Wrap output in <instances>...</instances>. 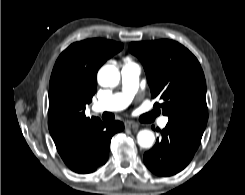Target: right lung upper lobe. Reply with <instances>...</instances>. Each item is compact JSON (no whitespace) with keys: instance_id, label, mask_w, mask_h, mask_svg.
Returning a JSON list of instances; mask_svg holds the SVG:
<instances>
[{"instance_id":"1","label":"right lung upper lobe","mask_w":245,"mask_h":195,"mask_svg":"<svg viewBox=\"0 0 245 195\" xmlns=\"http://www.w3.org/2000/svg\"><path fill=\"white\" fill-rule=\"evenodd\" d=\"M123 45L100 38L71 44L58 57L49 84L48 127L63 161L76 164L101 120L87 118L85 105L97 90V71Z\"/></svg>"}]
</instances>
